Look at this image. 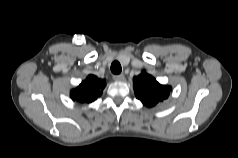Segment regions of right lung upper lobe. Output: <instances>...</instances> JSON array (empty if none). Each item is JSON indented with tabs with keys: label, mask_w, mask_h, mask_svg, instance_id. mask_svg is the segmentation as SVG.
<instances>
[{
	"label": "right lung upper lobe",
	"mask_w": 238,
	"mask_h": 158,
	"mask_svg": "<svg viewBox=\"0 0 238 158\" xmlns=\"http://www.w3.org/2000/svg\"><path fill=\"white\" fill-rule=\"evenodd\" d=\"M105 81L89 75L77 88L71 90L70 96L81 103L95 101L103 92Z\"/></svg>",
	"instance_id": "obj_1"
}]
</instances>
